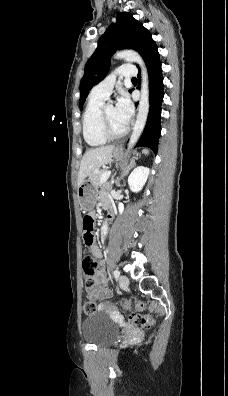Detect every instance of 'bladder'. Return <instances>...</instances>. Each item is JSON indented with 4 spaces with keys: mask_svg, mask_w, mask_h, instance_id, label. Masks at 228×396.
Masks as SVG:
<instances>
[{
    "mask_svg": "<svg viewBox=\"0 0 228 396\" xmlns=\"http://www.w3.org/2000/svg\"><path fill=\"white\" fill-rule=\"evenodd\" d=\"M120 334L118 326L104 312L88 315L82 322L83 339L96 346L115 342Z\"/></svg>",
    "mask_w": 228,
    "mask_h": 396,
    "instance_id": "31cf9c89",
    "label": "bladder"
}]
</instances>
